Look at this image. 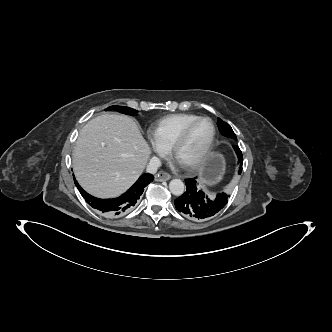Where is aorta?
I'll list each match as a JSON object with an SVG mask.
<instances>
[{
	"instance_id": "1",
	"label": "aorta",
	"mask_w": 332,
	"mask_h": 332,
	"mask_svg": "<svg viewBox=\"0 0 332 332\" xmlns=\"http://www.w3.org/2000/svg\"><path fill=\"white\" fill-rule=\"evenodd\" d=\"M170 192L175 196H181L185 191V185L180 179H173L169 183Z\"/></svg>"
}]
</instances>
